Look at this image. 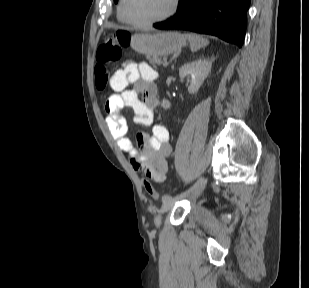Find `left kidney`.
<instances>
[{
	"label": "left kidney",
	"mask_w": 309,
	"mask_h": 288,
	"mask_svg": "<svg viewBox=\"0 0 309 288\" xmlns=\"http://www.w3.org/2000/svg\"><path fill=\"white\" fill-rule=\"evenodd\" d=\"M210 70L211 61L209 59L200 58L184 64L179 69V75L181 79H184L187 76L191 77V79L187 81L188 92L194 94L199 90ZM161 106L164 109H169L171 104L168 100L163 99Z\"/></svg>",
	"instance_id": "5707ae66"
}]
</instances>
